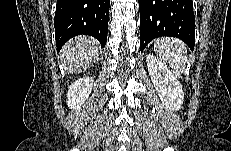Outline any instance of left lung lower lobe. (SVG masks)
<instances>
[{
    "label": "left lung lower lobe",
    "mask_w": 231,
    "mask_h": 151,
    "mask_svg": "<svg viewBox=\"0 0 231 151\" xmlns=\"http://www.w3.org/2000/svg\"><path fill=\"white\" fill-rule=\"evenodd\" d=\"M141 52L153 39L172 36L195 45L192 0H139Z\"/></svg>",
    "instance_id": "left-lung-lower-lobe-1"
}]
</instances>
